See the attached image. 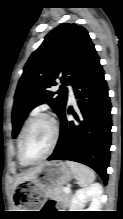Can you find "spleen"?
<instances>
[{
    "label": "spleen",
    "instance_id": "3e777b00",
    "mask_svg": "<svg viewBox=\"0 0 123 219\" xmlns=\"http://www.w3.org/2000/svg\"><path fill=\"white\" fill-rule=\"evenodd\" d=\"M80 186H88L95 181V173L89 167L72 161H67Z\"/></svg>",
    "mask_w": 123,
    "mask_h": 219
}]
</instances>
